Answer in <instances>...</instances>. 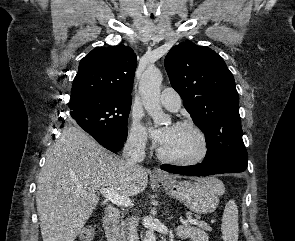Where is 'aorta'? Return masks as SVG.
<instances>
[{"label": "aorta", "instance_id": "obj_1", "mask_svg": "<svg viewBox=\"0 0 295 241\" xmlns=\"http://www.w3.org/2000/svg\"><path fill=\"white\" fill-rule=\"evenodd\" d=\"M162 80L163 76L160 69L149 66L144 71L139 83L143 106L154 120L155 126L166 125L171 122V118L163 112L159 101ZM144 241H156L152 228L146 231Z\"/></svg>", "mask_w": 295, "mask_h": 241}]
</instances>
